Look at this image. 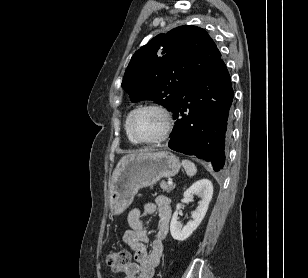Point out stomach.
<instances>
[{"instance_id":"stomach-1","label":"stomach","mask_w":308,"mask_h":278,"mask_svg":"<svg viewBox=\"0 0 308 278\" xmlns=\"http://www.w3.org/2000/svg\"><path fill=\"white\" fill-rule=\"evenodd\" d=\"M180 167L179 159L168 151H144L124 156L110 179V212L121 214L139 189L176 175Z\"/></svg>"}]
</instances>
